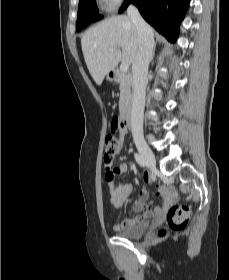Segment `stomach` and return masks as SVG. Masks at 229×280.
Wrapping results in <instances>:
<instances>
[{
	"instance_id": "stomach-1",
	"label": "stomach",
	"mask_w": 229,
	"mask_h": 280,
	"mask_svg": "<svg viewBox=\"0 0 229 280\" xmlns=\"http://www.w3.org/2000/svg\"><path fill=\"white\" fill-rule=\"evenodd\" d=\"M107 80L111 82L114 80V77L110 74H107Z\"/></svg>"
}]
</instances>
